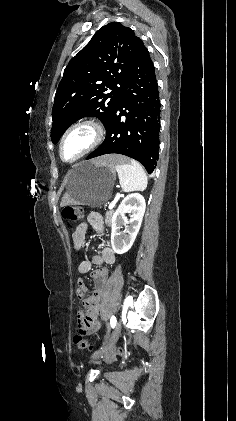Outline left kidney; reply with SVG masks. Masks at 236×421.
<instances>
[{"label":"left kidney","instance_id":"obj_1","mask_svg":"<svg viewBox=\"0 0 236 421\" xmlns=\"http://www.w3.org/2000/svg\"><path fill=\"white\" fill-rule=\"evenodd\" d=\"M146 202L144 196L139 192H132L123 198L111 219V245L113 251L118 255H123L131 249L141 227ZM130 213L131 219L125 217ZM126 227V233H120V229Z\"/></svg>","mask_w":236,"mask_h":421}]
</instances>
